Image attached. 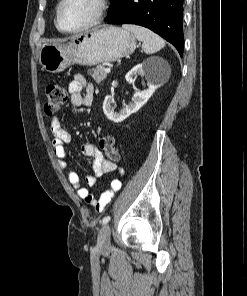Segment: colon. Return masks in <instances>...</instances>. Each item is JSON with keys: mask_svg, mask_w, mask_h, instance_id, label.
<instances>
[{"mask_svg": "<svg viewBox=\"0 0 247 296\" xmlns=\"http://www.w3.org/2000/svg\"><path fill=\"white\" fill-rule=\"evenodd\" d=\"M46 101L44 111L48 116L57 113L67 100V93L64 86L60 82H54L46 87ZM101 150L105 157L111 162H118L120 159L119 149L116 146L112 136H104L99 142Z\"/></svg>", "mask_w": 247, "mask_h": 296, "instance_id": "colon-1", "label": "colon"}]
</instances>
